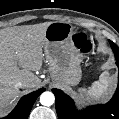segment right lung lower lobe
Returning a JSON list of instances; mask_svg holds the SVG:
<instances>
[{
    "instance_id": "obj_1",
    "label": "right lung lower lobe",
    "mask_w": 119,
    "mask_h": 119,
    "mask_svg": "<svg viewBox=\"0 0 119 119\" xmlns=\"http://www.w3.org/2000/svg\"><path fill=\"white\" fill-rule=\"evenodd\" d=\"M44 90V88H41L22 97L15 109L7 117L2 119H28L35 100Z\"/></svg>"
}]
</instances>
